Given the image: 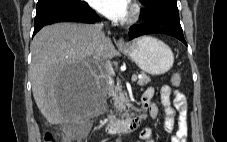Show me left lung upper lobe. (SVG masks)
Returning <instances> with one entry per match:
<instances>
[{
    "instance_id": "obj_1",
    "label": "left lung upper lobe",
    "mask_w": 227,
    "mask_h": 142,
    "mask_svg": "<svg viewBox=\"0 0 227 142\" xmlns=\"http://www.w3.org/2000/svg\"><path fill=\"white\" fill-rule=\"evenodd\" d=\"M177 0H140L145 5V9L140 12V17L144 18L153 11L161 10L171 14L179 15Z\"/></svg>"
}]
</instances>
